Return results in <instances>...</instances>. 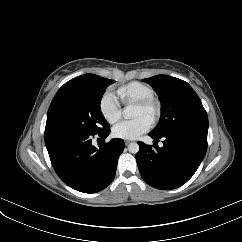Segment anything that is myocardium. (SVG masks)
Wrapping results in <instances>:
<instances>
[{"mask_svg":"<svg viewBox=\"0 0 242 242\" xmlns=\"http://www.w3.org/2000/svg\"><path fill=\"white\" fill-rule=\"evenodd\" d=\"M135 106L142 108L149 114L151 123L157 122L161 113V106L159 101L154 98L150 97L135 103Z\"/></svg>","mask_w":242,"mask_h":242,"instance_id":"1","label":"myocardium"}]
</instances>
